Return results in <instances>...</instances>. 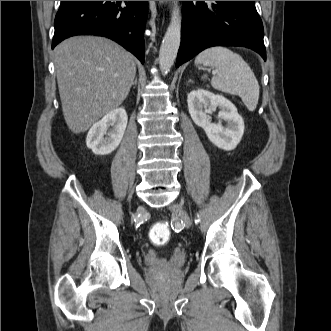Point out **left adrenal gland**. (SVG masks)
Returning a JSON list of instances; mask_svg holds the SVG:
<instances>
[{
    "label": "left adrenal gland",
    "instance_id": "obj_1",
    "mask_svg": "<svg viewBox=\"0 0 331 331\" xmlns=\"http://www.w3.org/2000/svg\"><path fill=\"white\" fill-rule=\"evenodd\" d=\"M188 82H191V83H193V81L190 79Z\"/></svg>",
    "mask_w": 331,
    "mask_h": 331
}]
</instances>
